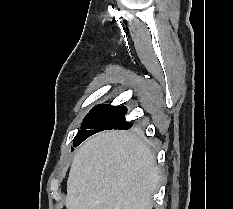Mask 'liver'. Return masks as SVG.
Here are the masks:
<instances>
[{
  "instance_id": "6515ba94",
  "label": "liver",
  "mask_w": 233,
  "mask_h": 209,
  "mask_svg": "<svg viewBox=\"0 0 233 209\" xmlns=\"http://www.w3.org/2000/svg\"><path fill=\"white\" fill-rule=\"evenodd\" d=\"M160 182L150 148L127 131H105L74 155L67 180V209H152Z\"/></svg>"
}]
</instances>
